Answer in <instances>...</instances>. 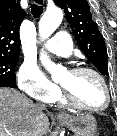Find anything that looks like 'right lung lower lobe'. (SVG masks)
<instances>
[{"mask_svg": "<svg viewBox=\"0 0 117 136\" xmlns=\"http://www.w3.org/2000/svg\"><path fill=\"white\" fill-rule=\"evenodd\" d=\"M0 87L17 88L16 83H10V82H2L0 83Z\"/></svg>", "mask_w": 117, "mask_h": 136, "instance_id": "98d812e1", "label": "right lung lower lobe"}]
</instances>
